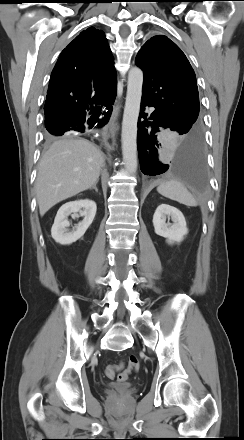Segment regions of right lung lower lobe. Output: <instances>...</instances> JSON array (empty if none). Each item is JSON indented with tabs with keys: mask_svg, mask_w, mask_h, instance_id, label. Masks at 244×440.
<instances>
[{
	"mask_svg": "<svg viewBox=\"0 0 244 440\" xmlns=\"http://www.w3.org/2000/svg\"><path fill=\"white\" fill-rule=\"evenodd\" d=\"M115 97L116 95L105 104L108 109V116L105 119L99 120L101 111H96L88 120L85 118V115H77L69 118H59L52 122L45 123L46 129L55 136H62L71 131L84 133L87 129H91L96 123H98V126H103L108 122L112 111L111 105L114 103ZM86 124H89V127H87Z\"/></svg>",
	"mask_w": 244,
	"mask_h": 440,
	"instance_id": "98d812e1",
	"label": "right lung lower lobe"
}]
</instances>
